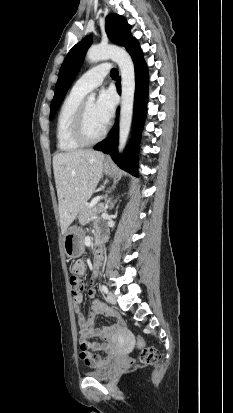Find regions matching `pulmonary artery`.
Here are the masks:
<instances>
[{
	"label": "pulmonary artery",
	"instance_id": "1",
	"mask_svg": "<svg viewBox=\"0 0 233 413\" xmlns=\"http://www.w3.org/2000/svg\"><path fill=\"white\" fill-rule=\"evenodd\" d=\"M109 70L110 65L107 63L99 64L89 69L76 80L73 89L85 94L88 93L102 84Z\"/></svg>",
	"mask_w": 233,
	"mask_h": 413
}]
</instances>
